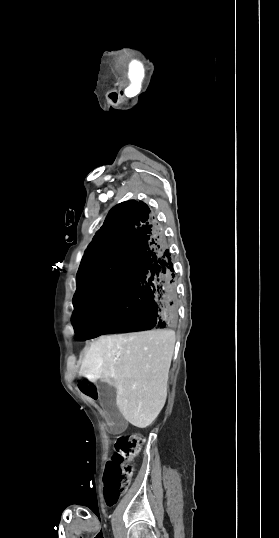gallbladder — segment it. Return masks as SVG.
Wrapping results in <instances>:
<instances>
[{"mask_svg":"<svg viewBox=\"0 0 279 538\" xmlns=\"http://www.w3.org/2000/svg\"><path fill=\"white\" fill-rule=\"evenodd\" d=\"M96 386L99 388V390H101V408L103 410H108L107 418L109 422H113L111 425L112 432L122 433L124 427L126 426V419L123 417L120 409L118 407H114L117 392L116 388H114V386H110L108 382H102V380H98V382H96Z\"/></svg>","mask_w":279,"mask_h":538,"instance_id":"obj_1","label":"gallbladder"}]
</instances>
